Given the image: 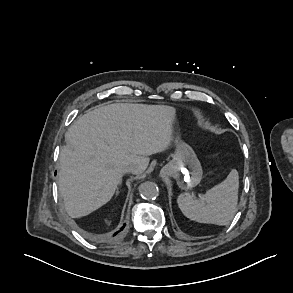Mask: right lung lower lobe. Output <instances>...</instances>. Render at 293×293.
<instances>
[{"label":"right lung lower lobe","mask_w":293,"mask_h":293,"mask_svg":"<svg viewBox=\"0 0 293 293\" xmlns=\"http://www.w3.org/2000/svg\"><path fill=\"white\" fill-rule=\"evenodd\" d=\"M126 224L123 225V227L120 229L121 231L124 229ZM120 232V231H119ZM118 232H116L113 236H115Z\"/></svg>","instance_id":"obj_1"}]
</instances>
